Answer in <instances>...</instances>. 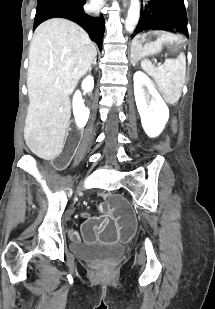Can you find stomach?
<instances>
[{
    "mask_svg": "<svg viewBox=\"0 0 215 309\" xmlns=\"http://www.w3.org/2000/svg\"><path fill=\"white\" fill-rule=\"evenodd\" d=\"M183 37L164 30H151L137 34L131 43L130 56L137 62L149 56L156 55L163 50L181 55Z\"/></svg>",
    "mask_w": 215,
    "mask_h": 309,
    "instance_id": "0dacf381",
    "label": "stomach"
}]
</instances>
